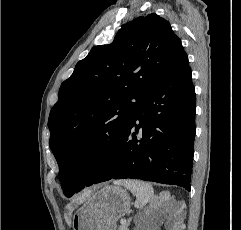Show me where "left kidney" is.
Instances as JSON below:
<instances>
[{"label":"left kidney","instance_id":"1","mask_svg":"<svg viewBox=\"0 0 241 230\" xmlns=\"http://www.w3.org/2000/svg\"><path fill=\"white\" fill-rule=\"evenodd\" d=\"M149 215V214H147ZM137 230H155V227L152 225L151 221L145 222L142 226L139 227Z\"/></svg>","mask_w":241,"mask_h":230}]
</instances>
